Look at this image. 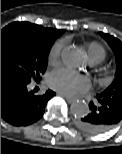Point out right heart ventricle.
<instances>
[{
	"label": "right heart ventricle",
	"mask_w": 122,
	"mask_h": 154,
	"mask_svg": "<svg viewBox=\"0 0 122 154\" xmlns=\"http://www.w3.org/2000/svg\"><path fill=\"white\" fill-rule=\"evenodd\" d=\"M88 59L97 63L103 61L106 57V51L102 45L97 42H91L85 46Z\"/></svg>",
	"instance_id": "e07e8e85"
}]
</instances>
